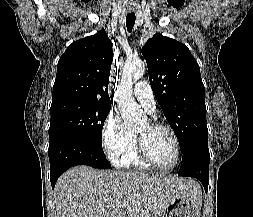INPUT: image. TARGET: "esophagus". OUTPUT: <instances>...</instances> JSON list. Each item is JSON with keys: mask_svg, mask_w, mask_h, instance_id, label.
Listing matches in <instances>:
<instances>
[{"mask_svg": "<svg viewBox=\"0 0 253 217\" xmlns=\"http://www.w3.org/2000/svg\"><path fill=\"white\" fill-rule=\"evenodd\" d=\"M129 11H133V9H129Z\"/></svg>", "mask_w": 253, "mask_h": 217, "instance_id": "34e87169", "label": "esophagus"}]
</instances>
